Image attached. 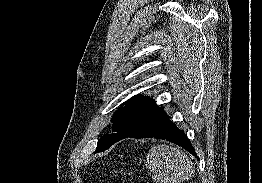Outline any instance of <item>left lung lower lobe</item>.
<instances>
[{"instance_id": "obj_1", "label": "left lung lower lobe", "mask_w": 262, "mask_h": 183, "mask_svg": "<svg viewBox=\"0 0 262 183\" xmlns=\"http://www.w3.org/2000/svg\"><path fill=\"white\" fill-rule=\"evenodd\" d=\"M128 137L167 140L183 147L193 156L198 158L187 136L169 120L163 108H159L137 132Z\"/></svg>"}]
</instances>
